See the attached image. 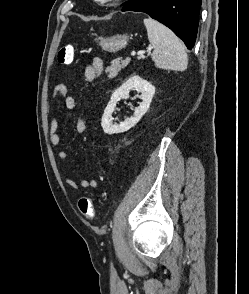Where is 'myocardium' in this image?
Here are the masks:
<instances>
[{
	"label": "myocardium",
	"mask_w": 249,
	"mask_h": 294,
	"mask_svg": "<svg viewBox=\"0 0 249 294\" xmlns=\"http://www.w3.org/2000/svg\"><path fill=\"white\" fill-rule=\"evenodd\" d=\"M101 6H113L121 2L122 0H94Z\"/></svg>",
	"instance_id": "obj_1"
}]
</instances>
